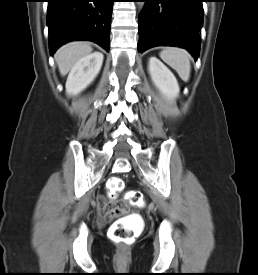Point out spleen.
Returning <instances> with one entry per match:
<instances>
[{
	"label": "spleen",
	"mask_w": 258,
	"mask_h": 275,
	"mask_svg": "<svg viewBox=\"0 0 258 275\" xmlns=\"http://www.w3.org/2000/svg\"><path fill=\"white\" fill-rule=\"evenodd\" d=\"M160 57L169 66L176 70L180 78L187 82L190 78V54L178 47H166L160 52Z\"/></svg>",
	"instance_id": "3e777b00"
}]
</instances>
